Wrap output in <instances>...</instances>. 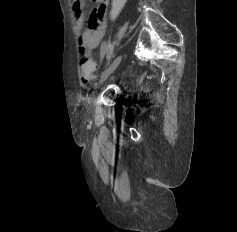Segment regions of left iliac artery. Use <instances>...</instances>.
Listing matches in <instances>:
<instances>
[{
	"mask_svg": "<svg viewBox=\"0 0 237 232\" xmlns=\"http://www.w3.org/2000/svg\"><path fill=\"white\" fill-rule=\"evenodd\" d=\"M106 50H107V43L103 41L100 47V61H102V59L104 58Z\"/></svg>",
	"mask_w": 237,
	"mask_h": 232,
	"instance_id": "obj_1",
	"label": "left iliac artery"
}]
</instances>
